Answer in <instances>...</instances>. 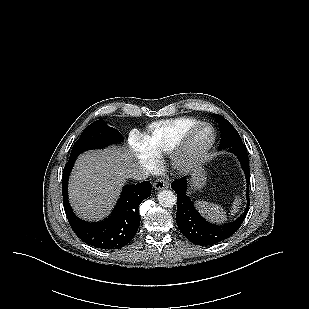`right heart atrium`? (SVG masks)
<instances>
[{"label": "right heart atrium", "instance_id": "1", "mask_svg": "<svg viewBox=\"0 0 309 309\" xmlns=\"http://www.w3.org/2000/svg\"><path fill=\"white\" fill-rule=\"evenodd\" d=\"M134 150L137 152V159L143 168L148 172L152 173L156 168V158L147 152L138 142L133 144Z\"/></svg>", "mask_w": 309, "mask_h": 309}]
</instances>
